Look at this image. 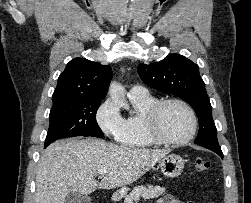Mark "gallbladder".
I'll return each instance as SVG.
<instances>
[{
	"label": "gallbladder",
	"mask_w": 251,
	"mask_h": 203,
	"mask_svg": "<svg viewBox=\"0 0 251 203\" xmlns=\"http://www.w3.org/2000/svg\"><path fill=\"white\" fill-rule=\"evenodd\" d=\"M64 203H91V198L79 192H70L66 195Z\"/></svg>",
	"instance_id": "obj_1"
}]
</instances>
